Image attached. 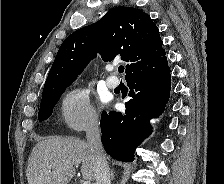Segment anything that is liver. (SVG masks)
<instances>
[{
    "mask_svg": "<svg viewBox=\"0 0 224 184\" xmlns=\"http://www.w3.org/2000/svg\"><path fill=\"white\" fill-rule=\"evenodd\" d=\"M80 164L83 179L94 181L95 158L87 142L75 137L45 138L35 145L29 157L28 184H68Z\"/></svg>",
    "mask_w": 224,
    "mask_h": 184,
    "instance_id": "1",
    "label": "liver"
}]
</instances>
